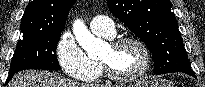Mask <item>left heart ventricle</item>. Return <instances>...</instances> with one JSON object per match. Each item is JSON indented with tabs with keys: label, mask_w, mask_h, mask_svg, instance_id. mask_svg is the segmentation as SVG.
<instances>
[{
	"label": "left heart ventricle",
	"mask_w": 205,
	"mask_h": 87,
	"mask_svg": "<svg viewBox=\"0 0 205 87\" xmlns=\"http://www.w3.org/2000/svg\"><path fill=\"white\" fill-rule=\"evenodd\" d=\"M100 59L107 62L112 70L120 75L136 73L144 62L142 50L133 43L124 44L116 49L108 45Z\"/></svg>",
	"instance_id": "obj_1"
}]
</instances>
